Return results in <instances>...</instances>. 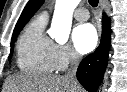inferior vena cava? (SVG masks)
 <instances>
[{"instance_id": "602c4592", "label": "inferior vena cava", "mask_w": 127, "mask_h": 92, "mask_svg": "<svg viewBox=\"0 0 127 92\" xmlns=\"http://www.w3.org/2000/svg\"><path fill=\"white\" fill-rule=\"evenodd\" d=\"M80 63V56L76 53V51L72 50L70 53V69L65 75L74 85H78V81L76 79V72Z\"/></svg>"}]
</instances>
